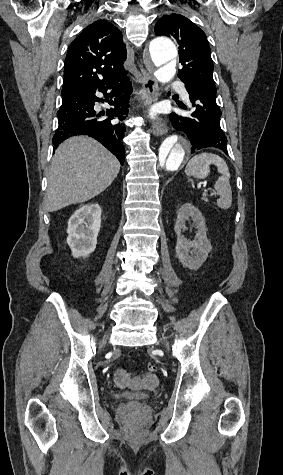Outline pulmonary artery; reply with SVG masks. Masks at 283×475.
I'll return each instance as SVG.
<instances>
[{"label": "pulmonary artery", "mask_w": 283, "mask_h": 475, "mask_svg": "<svg viewBox=\"0 0 283 475\" xmlns=\"http://www.w3.org/2000/svg\"><path fill=\"white\" fill-rule=\"evenodd\" d=\"M176 87L178 88V94H179L180 96H184V99H185L186 101H188V100H189V96H188V94H187V89H186L185 87H183L182 85H180V84H176Z\"/></svg>", "instance_id": "pulmonary-artery-1"}]
</instances>
